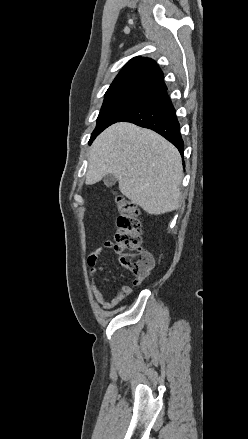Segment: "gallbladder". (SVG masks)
<instances>
[{
    "mask_svg": "<svg viewBox=\"0 0 248 439\" xmlns=\"http://www.w3.org/2000/svg\"><path fill=\"white\" fill-rule=\"evenodd\" d=\"M117 182V178L114 174L110 173L104 177V184L107 187H112Z\"/></svg>",
    "mask_w": 248,
    "mask_h": 439,
    "instance_id": "bac80fb5",
    "label": "gallbladder"
}]
</instances>
